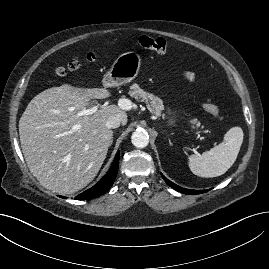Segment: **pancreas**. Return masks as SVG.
Segmentation results:
<instances>
[{
  "mask_svg": "<svg viewBox=\"0 0 269 269\" xmlns=\"http://www.w3.org/2000/svg\"><path fill=\"white\" fill-rule=\"evenodd\" d=\"M129 95L138 101L145 102L147 105V109L150 111V113L156 116L162 115V111L164 110V105H163V101L159 97L151 93L145 92L137 84H133L130 86ZM191 123L196 125L197 127L200 124L196 120H192Z\"/></svg>",
  "mask_w": 269,
  "mask_h": 269,
  "instance_id": "1",
  "label": "pancreas"
}]
</instances>
